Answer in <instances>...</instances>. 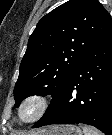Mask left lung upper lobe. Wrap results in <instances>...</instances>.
<instances>
[{"mask_svg":"<svg viewBox=\"0 0 112 135\" xmlns=\"http://www.w3.org/2000/svg\"><path fill=\"white\" fill-rule=\"evenodd\" d=\"M111 25V16L97 0H69L45 15L19 68L15 108L31 95L54 97Z\"/></svg>","mask_w":112,"mask_h":135,"instance_id":"1","label":"left lung upper lobe"}]
</instances>
